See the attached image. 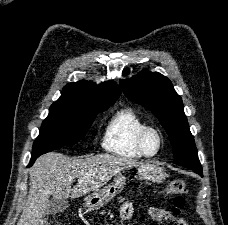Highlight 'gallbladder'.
I'll list each match as a JSON object with an SVG mask.
<instances>
[{"label":"gallbladder","mask_w":228,"mask_h":225,"mask_svg":"<svg viewBox=\"0 0 228 225\" xmlns=\"http://www.w3.org/2000/svg\"><path fill=\"white\" fill-rule=\"evenodd\" d=\"M50 209H48L46 215H56V213H63L69 207L68 199H56L53 197L49 203Z\"/></svg>","instance_id":"obj_1"}]
</instances>
